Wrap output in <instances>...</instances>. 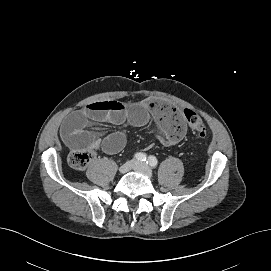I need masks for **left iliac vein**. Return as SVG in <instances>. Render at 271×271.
<instances>
[{"label":"left iliac vein","instance_id":"4c4485c4","mask_svg":"<svg viewBox=\"0 0 271 271\" xmlns=\"http://www.w3.org/2000/svg\"><path fill=\"white\" fill-rule=\"evenodd\" d=\"M134 169L140 173H143L144 175L149 176V177L152 176V170L145 163H137Z\"/></svg>","mask_w":271,"mask_h":271}]
</instances>
